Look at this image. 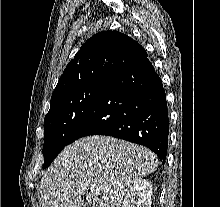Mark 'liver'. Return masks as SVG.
Returning a JSON list of instances; mask_svg holds the SVG:
<instances>
[{
    "label": "liver",
    "mask_w": 220,
    "mask_h": 207,
    "mask_svg": "<svg viewBox=\"0 0 220 207\" xmlns=\"http://www.w3.org/2000/svg\"><path fill=\"white\" fill-rule=\"evenodd\" d=\"M156 155L149 149L109 136L94 135L68 145L40 183L42 207H120L135 181L154 172ZM90 187L99 193L87 192Z\"/></svg>",
    "instance_id": "obj_1"
}]
</instances>
